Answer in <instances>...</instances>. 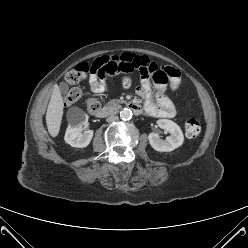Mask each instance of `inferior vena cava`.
Instances as JSON below:
<instances>
[{"mask_svg": "<svg viewBox=\"0 0 248 248\" xmlns=\"http://www.w3.org/2000/svg\"><path fill=\"white\" fill-rule=\"evenodd\" d=\"M106 120L107 122L116 121L118 120V116L112 115V116H109Z\"/></svg>", "mask_w": 248, "mask_h": 248, "instance_id": "inferior-vena-cava-1", "label": "inferior vena cava"}]
</instances>
